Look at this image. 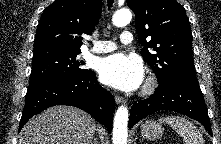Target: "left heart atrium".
Returning a JSON list of instances; mask_svg holds the SVG:
<instances>
[{"instance_id": "39dd6f15", "label": "left heart atrium", "mask_w": 221, "mask_h": 144, "mask_svg": "<svg viewBox=\"0 0 221 144\" xmlns=\"http://www.w3.org/2000/svg\"><path fill=\"white\" fill-rule=\"evenodd\" d=\"M99 77L107 85L122 91H131L142 84L144 71L136 56L116 53L101 60Z\"/></svg>"}]
</instances>
